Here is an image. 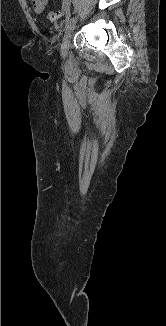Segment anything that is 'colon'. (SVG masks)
Instances as JSON below:
<instances>
[{"label": "colon", "instance_id": "1", "mask_svg": "<svg viewBox=\"0 0 166 326\" xmlns=\"http://www.w3.org/2000/svg\"><path fill=\"white\" fill-rule=\"evenodd\" d=\"M59 16H60V12L52 11V12H49L48 19L50 22L55 23V22H57Z\"/></svg>", "mask_w": 166, "mask_h": 326}]
</instances>
